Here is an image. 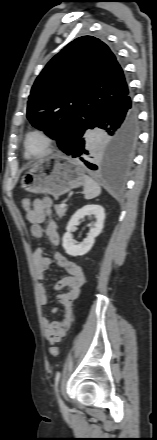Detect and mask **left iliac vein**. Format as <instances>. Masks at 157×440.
<instances>
[{
    "label": "left iliac vein",
    "instance_id": "left-iliac-vein-1",
    "mask_svg": "<svg viewBox=\"0 0 157 440\" xmlns=\"http://www.w3.org/2000/svg\"><path fill=\"white\" fill-rule=\"evenodd\" d=\"M58 401H59L60 406L63 408L64 407V402L62 401L60 396L58 397Z\"/></svg>",
    "mask_w": 157,
    "mask_h": 440
}]
</instances>
